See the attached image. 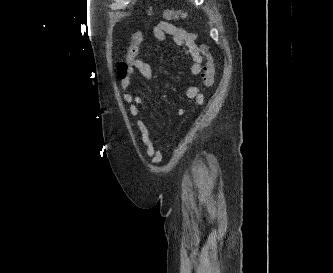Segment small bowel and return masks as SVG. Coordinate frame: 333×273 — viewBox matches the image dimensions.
I'll use <instances>...</instances> for the list:
<instances>
[{
  "mask_svg": "<svg viewBox=\"0 0 333 273\" xmlns=\"http://www.w3.org/2000/svg\"><path fill=\"white\" fill-rule=\"evenodd\" d=\"M154 35L159 41H164L167 36H170L173 43L182 48L185 55L188 57L190 65L189 69L193 75H199L202 69V56L199 53L196 45L197 35L190 33L183 28L176 26L172 23L160 22L154 29ZM142 50V43L134 54L136 57L135 62H128L124 69L120 72V87L122 90V97L125 102L129 104V112L135 120V125L141 135L142 142L145 146V153L153 163H158L162 159L161 152L154 146L148 128L145 122L139 115V107L141 105V98L134 95L130 91L132 83V74L137 70L140 75L145 79H151L153 72L151 66L139 58ZM127 55H130L129 48ZM186 96L189 100L202 102L203 97L201 88L199 86H191L186 91ZM182 112V111H181Z\"/></svg>",
  "mask_w": 333,
  "mask_h": 273,
  "instance_id": "obj_1",
  "label": "small bowel"
}]
</instances>
